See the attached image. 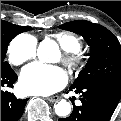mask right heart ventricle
<instances>
[{
	"mask_svg": "<svg viewBox=\"0 0 121 121\" xmlns=\"http://www.w3.org/2000/svg\"><path fill=\"white\" fill-rule=\"evenodd\" d=\"M65 51H78L80 49L79 40L71 34L56 33L52 35Z\"/></svg>",
	"mask_w": 121,
	"mask_h": 121,
	"instance_id": "1",
	"label": "right heart ventricle"
}]
</instances>
